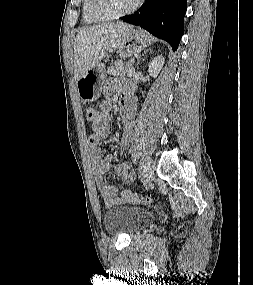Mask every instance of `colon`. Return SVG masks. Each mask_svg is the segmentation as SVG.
Returning a JSON list of instances; mask_svg holds the SVG:
<instances>
[{
    "instance_id": "1",
    "label": "colon",
    "mask_w": 253,
    "mask_h": 285,
    "mask_svg": "<svg viewBox=\"0 0 253 285\" xmlns=\"http://www.w3.org/2000/svg\"><path fill=\"white\" fill-rule=\"evenodd\" d=\"M96 115V110L94 108H88L86 110V119L88 121H93ZM124 196L127 201L133 202V203H150L153 201V199L150 196H142L136 193H133L131 191L126 190L124 193Z\"/></svg>"
}]
</instances>
